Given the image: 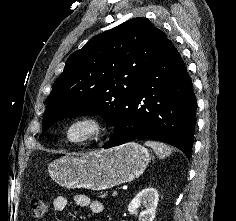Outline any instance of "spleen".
<instances>
[{
    "label": "spleen",
    "instance_id": "1",
    "mask_svg": "<svg viewBox=\"0 0 236 221\" xmlns=\"http://www.w3.org/2000/svg\"><path fill=\"white\" fill-rule=\"evenodd\" d=\"M145 145L151 147L159 158H165L172 153V148L159 141H146Z\"/></svg>",
    "mask_w": 236,
    "mask_h": 221
}]
</instances>
